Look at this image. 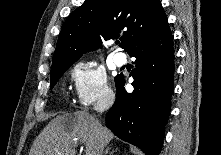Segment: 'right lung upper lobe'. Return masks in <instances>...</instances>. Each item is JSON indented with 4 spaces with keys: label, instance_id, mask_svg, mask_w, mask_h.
Returning <instances> with one entry per match:
<instances>
[{
    "label": "right lung upper lobe",
    "instance_id": "cb5924a9",
    "mask_svg": "<svg viewBox=\"0 0 221 155\" xmlns=\"http://www.w3.org/2000/svg\"><path fill=\"white\" fill-rule=\"evenodd\" d=\"M167 23L159 0H85L66 19L58 37L51 70L73 64L102 40L124 38L128 53L147 33Z\"/></svg>",
    "mask_w": 221,
    "mask_h": 155
}]
</instances>
